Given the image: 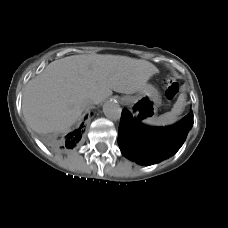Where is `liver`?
<instances>
[{"label":"liver","mask_w":228,"mask_h":228,"mask_svg":"<svg viewBox=\"0 0 228 228\" xmlns=\"http://www.w3.org/2000/svg\"><path fill=\"white\" fill-rule=\"evenodd\" d=\"M157 72L152 63L126 56L73 55L55 60L26 85L25 123L37 133L65 130L82 114L84 100L97 105L112 90L136 93Z\"/></svg>","instance_id":"liver-1"}]
</instances>
